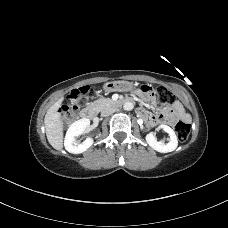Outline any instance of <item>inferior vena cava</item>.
<instances>
[{
	"label": "inferior vena cava",
	"mask_w": 228,
	"mask_h": 228,
	"mask_svg": "<svg viewBox=\"0 0 228 228\" xmlns=\"http://www.w3.org/2000/svg\"><path fill=\"white\" fill-rule=\"evenodd\" d=\"M115 111H116V108L107 107L101 112V115L102 116H109V115L113 114Z\"/></svg>",
	"instance_id": "inferior-vena-cava-1"
}]
</instances>
